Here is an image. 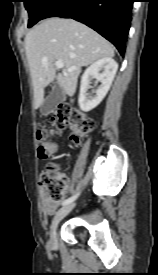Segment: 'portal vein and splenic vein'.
<instances>
[{"mask_svg":"<svg viewBox=\"0 0 158 275\" xmlns=\"http://www.w3.org/2000/svg\"><path fill=\"white\" fill-rule=\"evenodd\" d=\"M55 66L58 69H62L64 67V64H63L62 61L58 60V61L55 62ZM73 70H74V68H69L67 71L71 72Z\"/></svg>","mask_w":158,"mask_h":275,"instance_id":"18ae733b","label":"portal vein and splenic vein"}]
</instances>
